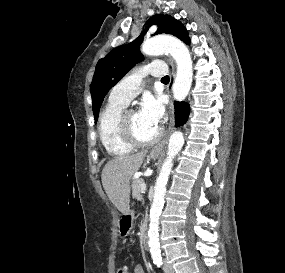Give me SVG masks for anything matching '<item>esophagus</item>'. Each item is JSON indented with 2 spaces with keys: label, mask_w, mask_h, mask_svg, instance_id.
Masks as SVG:
<instances>
[{
  "label": "esophagus",
  "mask_w": 285,
  "mask_h": 273,
  "mask_svg": "<svg viewBox=\"0 0 285 273\" xmlns=\"http://www.w3.org/2000/svg\"><path fill=\"white\" fill-rule=\"evenodd\" d=\"M169 108H170V111H171V119H170V122L172 123L173 122V104L172 102L170 103L169 105ZM167 143V139H163L160 143H158L151 151V153H158V152H161L164 148V146L166 145Z\"/></svg>",
  "instance_id": "1"
}]
</instances>
